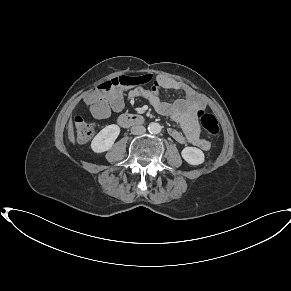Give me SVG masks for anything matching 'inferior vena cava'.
<instances>
[{
  "label": "inferior vena cava",
  "instance_id": "obj_1",
  "mask_svg": "<svg viewBox=\"0 0 291 291\" xmlns=\"http://www.w3.org/2000/svg\"><path fill=\"white\" fill-rule=\"evenodd\" d=\"M145 131H146V128L141 125H134L131 127V133L134 135H141L145 133Z\"/></svg>",
  "mask_w": 291,
  "mask_h": 291
}]
</instances>
